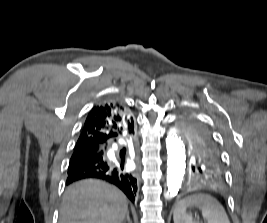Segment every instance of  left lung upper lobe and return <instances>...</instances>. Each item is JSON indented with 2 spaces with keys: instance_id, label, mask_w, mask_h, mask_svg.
<instances>
[{
  "instance_id": "5c2ea615",
  "label": "left lung upper lobe",
  "mask_w": 267,
  "mask_h": 223,
  "mask_svg": "<svg viewBox=\"0 0 267 223\" xmlns=\"http://www.w3.org/2000/svg\"><path fill=\"white\" fill-rule=\"evenodd\" d=\"M180 131L190 153L192 171H224L218 147L203 124L188 119L180 125Z\"/></svg>"
}]
</instances>
